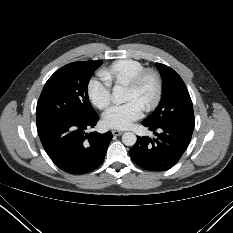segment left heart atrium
<instances>
[{
    "label": "left heart atrium",
    "mask_w": 233,
    "mask_h": 233,
    "mask_svg": "<svg viewBox=\"0 0 233 233\" xmlns=\"http://www.w3.org/2000/svg\"><path fill=\"white\" fill-rule=\"evenodd\" d=\"M144 107L137 101H128L109 109L103 116V123L113 129H128L138 120Z\"/></svg>",
    "instance_id": "1"
}]
</instances>
